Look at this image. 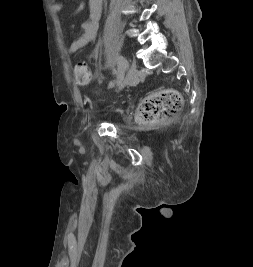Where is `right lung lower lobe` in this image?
I'll return each mask as SVG.
<instances>
[{"label":"right lung lower lobe","instance_id":"right-lung-lower-lobe-1","mask_svg":"<svg viewBox=\"0 0 253 267\" xmlns=\"http://www.w3.org/2000/svg\"><path fill=\"white\" fill-rule=\"evenodd\" d=\"M156 214H157V212L155 210H149L146 212V216H148V217L155 216Z\"/></svg>","mask_w":253,"mask_h":267}]
</instances>
